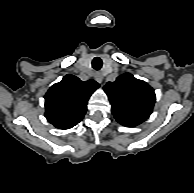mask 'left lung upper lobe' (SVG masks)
Here are the masks:
<instances>
[{"label":"left lung upper lobe","instance_id":"5c2ea615","mask_svg":"<svg viewBox=\"0 0 194 193\" xmlns=\"http://www.w3.org/2000/svg\"><path fill=\"white\" fill-rule=\"evenodd\" d=\"M116 120L128 127L144 122L152 113L156 101L152 87L130 73L120 75L116 81L104 86Z\"/></svg>","mask_w":194,"mask_h":193}]
</instances>
